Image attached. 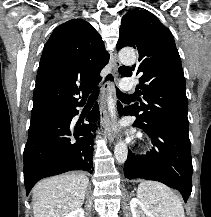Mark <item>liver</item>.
I'll list each match as a JSON object with an SVG mask.
<instances>
[{"label": "liver", "mask_w": 211, "mask_h": 217, "mask_svg": "<svg viewBox=\"0 0 211 217\" xmlns=\"http://www.w3.org/2000/svg\"><path fill=\"white\" fill-rule=\"evenodd\" d=\"M89 179L82 173L55 176L32 191L34 217H65L84 203Z\"/></svg>", "instance_id": "liver-1"}]
</instances>
